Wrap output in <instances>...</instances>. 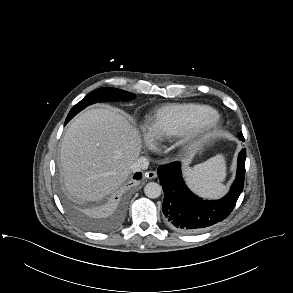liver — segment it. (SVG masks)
<instances>
[{
	"label": "liver",
	"mask_w": 293,
	"mask_h": 293,
	"mask_svg": "<svg viewBox=\"0 0 293 293\" xmlns=\"http://www.w3.org/2000/svg\"><path fill=\"white\" fill-rule=\"evenodd\" d=\"M142 147L141 136L113 109H91L67 129L60 152L68 191L84 200H99L122 185Z\"/></svg>",
	"instance_id": "6515ba94"
}]
</instances>
